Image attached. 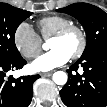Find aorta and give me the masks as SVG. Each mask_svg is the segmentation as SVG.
I'll use <instances>...</instances> for the list:
<instances>
[{"mask_svg": "<svg viewBox=\"0 0 107 107\" xmlns=\"http://www.w3.org/2000/svg\"><path fill=\"white\" fill-rule=\"evenodd\" d=\"M44 49H47V47L44 45ZM68 76L63 71H57L53 74V81L57 85H65L67 83Z\"/></svg>", "mask_w": 107, "mask_h": 107, "instance_id": "1", "label": "aorta"}]
</instances>
